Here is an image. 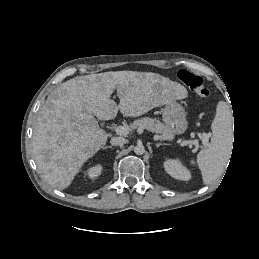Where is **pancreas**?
<instances>
[{"label": "pancreas", "mask_w": 259, "mask_h": 259, "mask_svg": "<svg viewBox=\"0 0 259 259\" xmlns=\"http://www.w3.org/2000/svg\"><path fill=\"white\" fill-rule=\"evenodd\" d=\"M130 127L133 129L142 128L155 132L160 134V137L163 140H172L174 137L173 132L157 119L145 117L134 121Z\"/></svg>", "instance_id": "cf45deb5"}]
</instances>
